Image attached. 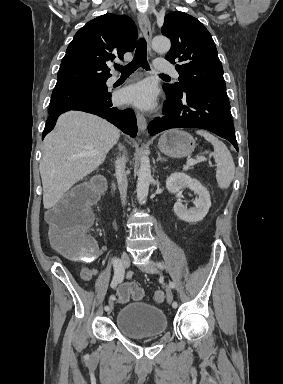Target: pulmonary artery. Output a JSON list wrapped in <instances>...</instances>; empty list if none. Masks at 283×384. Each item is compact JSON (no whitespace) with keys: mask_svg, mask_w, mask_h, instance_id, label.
<instances>
[{"mask_svg":"<svg viewBox=\"0 0 283 384\" xmlns=\"http://www.w3.org/2000/svg\"><path fill=\"white\" fill-rule=\"evenodd\" d=\"M156 70L157 71H165L166 75H173L175 78L179 77V73L177 71V68H174L173 64H170V61H159L156 64ZM120 77L117 75H112L108 78L107 84L112 85L114 84Z\"/></svg>","mask_w":283,"mask_h":384,"instance_id":"e3ab8cb5","label":"pulmonary artery"}]
</instances>
